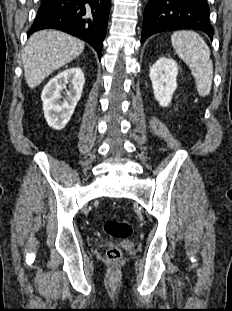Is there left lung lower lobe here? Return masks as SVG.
Masks as SVG:
<instances>
[{"label":"left lung lower lobe","instance_id":"1","mask_svg":"<svg viewBox=\"0 0 232 311\" xmlns=\"http://www.w3.org/2000/svg\"><path fill=\"white\" fill-rule=\"evenodd\" d=\"M209 15L206 0H150L145 8L141 42L155 33L178 29L200 30L212 39L214 29Z\"/></svg>","mask_w":232,"mask_h":311}]
</instances>
